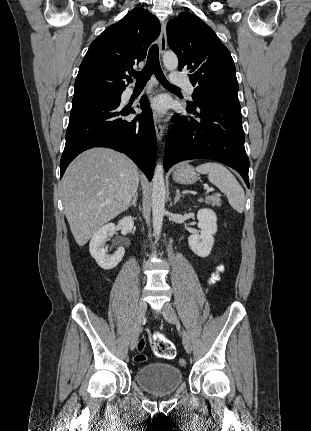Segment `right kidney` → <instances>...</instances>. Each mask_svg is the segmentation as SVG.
Instances as JSON below:
<instances>
[{
    "mask_svg": "<svg viewBox=\"0 0 311 431\" xmlns=\"http://www.w3.org/2000/svg\"><path fill=\"white\" fill-rule=\"evenodd\" d=\"M118 225H121V233L126 235L129 231H132L134 219L131 216L123 217V219L118 221ZM113 233H115V223H106V225H102L98 231H95L90 239L89 251L92 257L96 259L98 265L103 267V269H112V267H116L125 253L124 247H118L113 255L107 253V249L104 247L105 241L107 237L113 235Z\"/></svg>",
    "mask_w": 311,
    "mask_h": 431,
    "instance_id": "ca27d5eb",
    "label": "right kidney"
}]
</instances>
